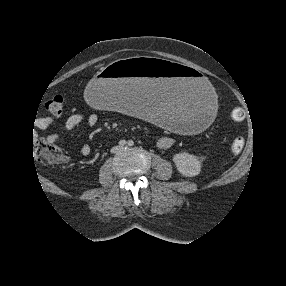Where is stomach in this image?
Segmentation results:
<instances>
[{
  "mask_svg": "<svg viewBox=\"0 0 286 286\" xmlns=\"http://www.w3.org/2000/svg\"><path fill=\"white\" fill-rule=\"evenodd\" d=\"M94 106L120 109L171 132L195 135L212 123L217 97L195 68L165 58L134 57L106 66L86 87Z\"/></svg>",
  "mask_w": 286,
  "mask_h": 286,
  "instance_id": "1",
  "label": "stomach"
}]
</instances>
